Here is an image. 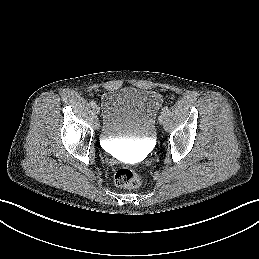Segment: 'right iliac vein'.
<instances>
[{"label": "right iliac vein", "instance_id": "obj_1", "mask_svg": "<svg viewBox=\"0 0 259 259\" xmlns=\"http://www.w3.org/2000/svg\"><path fill=\"white\" fill-rule=\"evenodd\" d=\"M93 110H94V112H95L96 114H98V113L100 112V108H99L97 105H95V106L93 107Z\"/></svg>", "mask_w": 259, "mask_h": 259}]
</instances>
